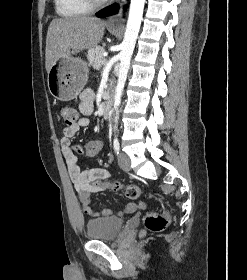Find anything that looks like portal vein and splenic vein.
<instances>
[{
	"label": "portal vein and splenic vein",
	"instance_id": "obj_1",
	"mask_svg": "<svg viewBox=\"0 0 247 280\" xmlns=\"http://www.w3.org/2000/svg\"><path fill=\"white\" fill-rule=\"evenodd\" d=\"M106 63H107V60L104 59V60L102 61V64H106Z\"/></svg>",
	"mask_w": 247,
	"mask_h": 280
}]
</instances>
